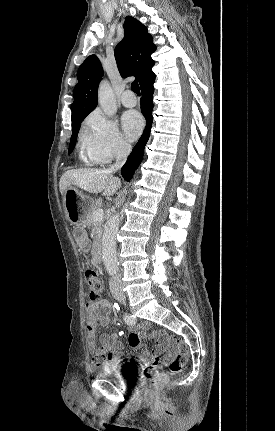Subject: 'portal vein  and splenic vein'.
<instances>
[{"instance_id":"obj_1","label":"portal vein and splenic vein","mask_w":275,"mask_h":431,"mask_svg":"<svg viewBox=\"0 0 275 431\" xmlns=\"http://www.w3.org/2000/svg\"><path fill=\"white\" fill-rule=\"evenodd\" d=\"M104 217V211L102 208L95 210L92 214V218L95 221L102 220Z\"/></svg>"}]
</instances>
